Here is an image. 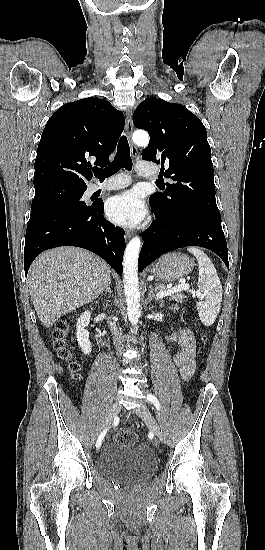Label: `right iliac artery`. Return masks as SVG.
<instances>
[{"instance_id": "right-iliac-artery-1", "label": "right iliac artery", "mask_w": 265, "mask_h": 550, "mask_svg": "<svg viewBox=\"0 0 265 550\" xmlns=\"http://www.w3.org/2000/svg\"><path fill=\"white\" fill-rule=\"evenodd\" d=\"M106 432H107V430H104L103 433L99 436V438H98V440H97V442H96V447H97V448H100L101 443H102V441H103V439H104V436L106 435Z\"/></svg>"}]
</instances>
